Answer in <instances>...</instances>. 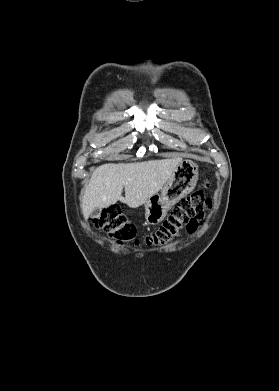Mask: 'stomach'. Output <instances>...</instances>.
Returning <instances> with one entry per match:
<instances>
[{
	"label": "stomach",
	"instance_id": "obj_1",
	"mask_svg": "<svg viewBox=\"0 0 279 391\" xmlns=\"http://www.w3.org/2000/svg\"><path fill=\"white\" fill-rule=\"evenodd\" d=\"M198 176L197 164L191 160H182L161 193L153 195L145 202L144 215L147 223L157 225L162 222L168 211L195 188Z\"/></svg>",
	"mask_w": 279,
	"mask_h": 391
}]
</instances>
